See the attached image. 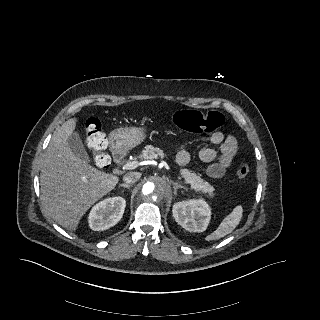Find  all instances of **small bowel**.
Instances as JSON below:
<instances>
[{"label": "small bowel", "mask_w": 320, "mask_h": 320, "mask_svg": "<svg viewBox=\"0 0 320 320\" xmlns=\"http://www.w3.org/2000/svg\"><path fill=\"white\" fill-rule=\"evenodd\" d=\"M210 142L218 146V151L214 148H203L199 152V159L207 164V174L211 178L218 179L225 175L231 167L238 154L239 146L236 138L232 135H225L221 131L211 134ZM177 163L185 166L190 162V153L180 150L176 156Z\"/></svg>", "instance_id": "obj_1"}]
</instances>
